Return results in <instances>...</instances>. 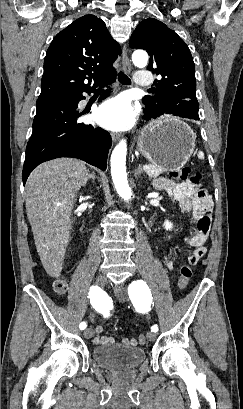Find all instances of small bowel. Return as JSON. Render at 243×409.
Returning <instances> with one entry per match:
<instances>
[{"mask_svg": "<svg viewBox=\"0 0 243 409\" xmlns=\"http://www.w3.org/2000/svg\"><path fill=\"white\" fill-rule=\"evenodd\" d=\"M155 187L161 190H165L169 195L179 202L181 208L190 213L196 223V229L189 237L184 238V243L195 249L188 257L189 265H196L199 260L205 255L206 247L205 242L208 238L211 226V212L213 210V201L208 193L190 183L174 182L166 178H159L155 181ZM166 266L171 269L172 263L168 258L164 259ZM111 310V303L105 302L104 316H108ZM90 319L93 321V317ZM103 328L101 326L95 327L96 337L94 339L95 344H107L114 343L115 337L111 335H101ZM121 343L125 346H137L139 341L135 338H123Z\"/></svg>", "mask_w": 243, "mask_h": 409, "instance_id": "small-bowel-1", "label": "small bowel"}]
</instances>
